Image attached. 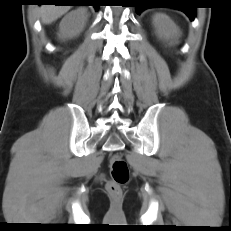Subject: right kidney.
<instances>
[{
  "label": "right kidney",
  "instance_id": "ca27d5eb",
  "mask_svg": "<svg viewBox=\"0 0 231 231\" xmlns=\"http://www.w3.org/2000/svg\"><path fill=\"white\" fill-rule=\"evenodd\" d=\"M87 17L85 8H78L65 15L59 25V39L64 40L78 36L85 26Z\"/></svg>",
  "mask_w": 231,
  "mask_h": 231
}]
</instances>
